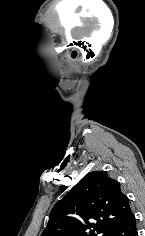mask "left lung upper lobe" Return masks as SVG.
I'll use <instances>...</instances> for the list:
<instances>
[{"mask_svg": "<svg viewBox=\"0 0 145 236\" xmlns=\"http://www.w3.org/2000/svg\"><path fill=\"white\" fill-rule=\"evenodd\" d=\"M131 213L119 182L106 172L93 171L54 206L41 236H111Z\"/></svg>", "mask_w": 145, "mask_h": 236, "instance_id": "left-lung-upper-lobe-1", "label": "left lung upper lobe"}]
</instances>
